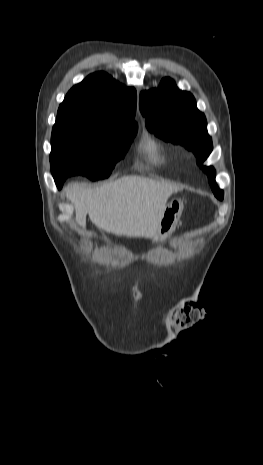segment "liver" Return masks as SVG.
I'll return each instance as SVG.
<instances>
[{
	"instance_id": "obj_1",
	"label": "liver",
	"mask_w": 263,
	"mask_h": 465,
	"mask_svg": "<svg viewBox=\"0 0 263 465\" xmlns=\"http://www.w3.org/2000/svg\"><path fill=\"white\" fill-rule=\"evenodd\" d=\"M181 189L142 176H125L96 189L69 184L66 197L75 207L77 223L86 216L96 227L117 236L153 238L168 198Z\"/></svg>"
}]
</instances>
